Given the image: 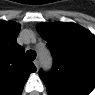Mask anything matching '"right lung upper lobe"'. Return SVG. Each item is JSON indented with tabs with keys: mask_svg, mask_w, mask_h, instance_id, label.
I'll return each mask as SVG.
<instances>
[{
	"mask_svg": "<svg viewBox=\"0 0 95 95\" xmlns=\"http://www.w3.org/2000/svg\"><path fill=\"white\" fill-rule=\"evenodd\" d=\"M19 31V24L0 21V95H20L29 74L36 71L16 41Z\"/></svg>",
	"mask_w": 95,
	"mask_h": 95,
	"instance_id": "cb5924a9",
	"label": "right lung upper lobe"
}]
</instances>
